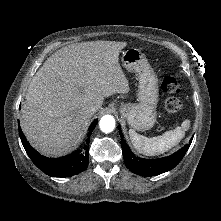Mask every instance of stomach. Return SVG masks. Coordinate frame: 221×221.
Returning <instances> with one entry per match:
<instances>
[{
	"label": "stomach",
	"instance_id": "0dacf381",
	"mask_svg": "<svg viewBox=\"0 0 221 221\" xmlns=\"http://www.w3.org/2000/svg\"><path fill=\"white\" fill-rule=\"evenodd\" d=\"M121 62L127 71L136 73L139 86L138 103H123L119 111L133 130H149L155 125L157 118L158 79L147 59L136 48L124 51Z\"/></svg>",
	"mask_w": 221,
	"mask_h": 221
}]
</instances>
